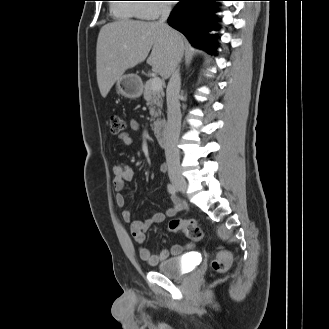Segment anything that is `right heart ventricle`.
<instances>
[{"instance_id": "1", "label": "right heart ventricle", "mask_w": 329, "mask_h": 329, "mask_svg": "<svg viewBox=\"0 0 329 329\" xmlns=\"http://www.w3.org/2000/svg\"><path fill=\"white\" fill-rule=\"evenodd\" d=\"M123 3L114 4L112 12L115 16L122 19H142V4L133 3L134 0H117Z\"/></svg>"}]
</instances>
